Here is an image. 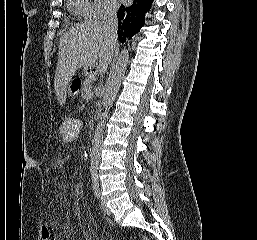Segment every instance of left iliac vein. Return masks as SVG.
<instances>
[{
    "instance_id": "left-iliac-vein-1",
    "label": "left iliac vein",
    "mask_w": 257,
    "mask_h": 240,
    "mask_svg": "<svg viewBox=\"0 0 257 240\" xmlns=\"http://www.w3.org/2000/svg\"><path fill=\"white\" fill-rule=\"evenodd\" d=\"M101 209L103 211L104 214L106 215H110L111 214V211L110 209L106 206L104 200L101 198Z\"/></svg>"
}]
</instances>
